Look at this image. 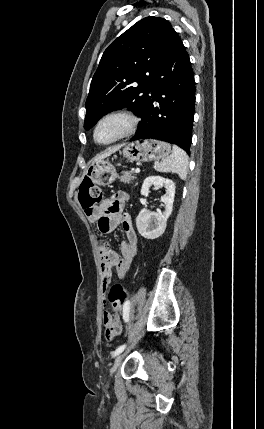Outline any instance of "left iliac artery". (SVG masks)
<instances>
[{"label": "left iliac artery", "mask_w": 264, "mask_h": 429, "mask_svg": "<svg viewBox=\"0 0 264 429\" xmlns=\"http://www.w3.org/2000/svg\"><path fill=\"white\" fill-rule=\"evenodd\" d=\"M129 309H130V301H126L125 302V306H124V310H123V319L125 322L129 321ZM126 347V344H123L121 346H119L113 353H112V357L117 356L118 354H120L121 352L124 351Z\"/></svg>", "instance_id": "1"}]
</instances>
